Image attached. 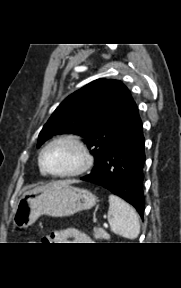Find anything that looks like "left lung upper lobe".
<instances>
[{
	"mask_svg": "<svg viewBox=\"0 0 181 288\" xmlns=\"http://www.w3.org/2000/svg\"><path fill=\"white\" fill-rule=\"evenodd\" d=\"M133 103L121 81L97 79L56 108L39 134L37 147L56 134L80 135L95 158L94 170L122 131Z\"/></svg>",
	"mask_w": 181,
	"mask_h": 288,
	"instance_id": "obj_1",
	"label": "left lung upper lobe"
}]
</instances>
